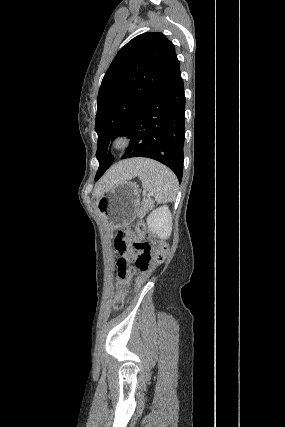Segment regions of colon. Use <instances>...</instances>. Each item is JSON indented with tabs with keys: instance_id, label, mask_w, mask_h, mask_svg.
<instances>
[{
	"instance_id": "obj_1",
	"label": "colon",
	"mask_w": 285,
	"mask_h": 427,
	"mask_svg": "<svg viewBox=\"0 0 285 427\" xmlns=\"http://www.w3.org/2000/svg\"><path fill=\"white\" fill-rule=\"evenodd\" d=\"M130 232L131 235L119 234L114 240V248L118 254H124L130 249L138 254L133 266L127 267L124 261L118 262L121 281L113 299V308L116 310L123 307L124 297L129 288L130 279L126 275L137 273L138 282H144L156 266L166 261L169 253V247L165 242H157L154 247L151 245L143 224L134 223Z\"/></svg>"
}]
</instances>
